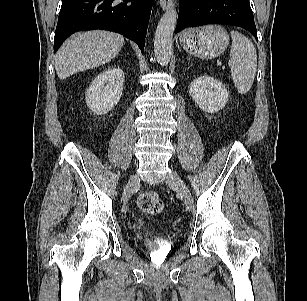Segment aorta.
Returning a JSON list of instances; mask_svg holds the SVG:
<instances>
[{
	"mask_svg": "<svg viewBox=\"0 0 307 301\" xmlns=\"http://www.w3.org/2000/svg\"><path fill=\"white\" fill-rule=\"evenodd\" d=\"M176 22L177 12L174 8H170L161 17L155 32L154 54L162 66L168 65L171 58Z\"/></svg>",
	"mask_w": 307,
	"mask_h": 301,
	"instance_id": "obj_1",
	"label": "aorta"
}]
</instances>
